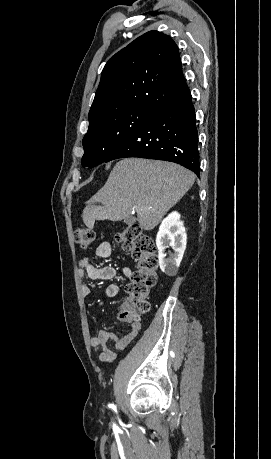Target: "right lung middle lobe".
<instances>
[{"mask_svg": "<svg viewBox=\"0 0 271 459\" xmlns=\"http://www.w3.org/2000/svg\"><path fill=\"white\" fill-rule=\"evenodd\" d=\"M154 112L155 109L151 107L136 106L89 121L88 132L83 138L82 165L92 168L105 162L111 153Z\"/></svg>", "mask_w": 271, "mask_h": 459, "instance_id": "1", "label": "right lung middle lobe"}]
</instances>
